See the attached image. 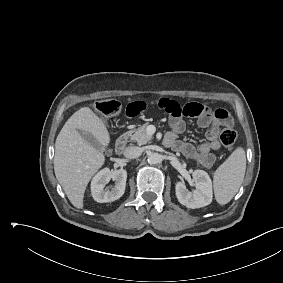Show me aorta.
Returning a JSON list of instances; mask_svg holds the SVG:
<instances>
[{
  "instance_id": "762f6f07",
  "label": "aorta",
  "mask_w": 283,
  "mask_h": 283,
  "mask_svg": "<svg viewBox=\"0 0 283 283\" xmlns=\"http://www.w3.org/2000/svg\"><path fill=\"white\" fill-rule=\"evenodd\" d=\"M162 161V157L159 153H150L148 155V163L149 164H157Z\"/></svg>"
}]
</instances>
